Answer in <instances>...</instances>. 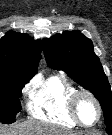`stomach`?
Wrapping results in <instances>:
<instances>
[{
	"label": "stomach",
	"mask_w": 112,
	"mask_h": 135,
	"mask_svg": "<svg viewBox=\"0 0 112 135\" xmlns=\"http://www.w3.org/2000/svg\"><path fill=\"white\" fill-rule=\"evenodd\" d=\"M79 135H94V134H79Z\"/></svg>",
	"instance_id": "stomach-1"
}]
</instances>
